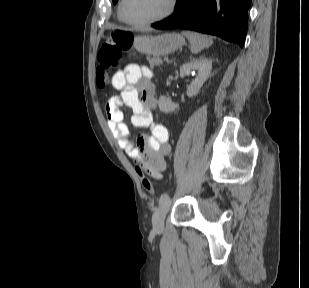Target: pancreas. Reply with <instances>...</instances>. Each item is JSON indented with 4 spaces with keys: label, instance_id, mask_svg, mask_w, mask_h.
I'll use <instances>...</instances> for the list:
<instances>
[{
    "label": "pancreas",
    "instance_id": "obj_1",
    "mask_svg": "<svg viewBox=\"0 0 309 288\" xmlns=\"http://www.w3.org/2000/svg\"><path fill=\"white\" fill-rule=\"evenodd\" d=\"M149 64L151 67L159 66L162 64V59L160 57L148 58Z\"/></svg>",
    "mask_w": 309,
    "mask_h": 288
}]
</instances>
